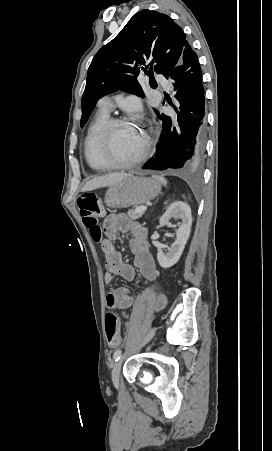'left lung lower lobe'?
I'll return each instance as SVG.
<instances>
[{"instance_id": "1", "label": "left lung lower lobe", "mask_w": 272, "mask_h": 451, "mask_svg": "<svg viewBox=\"0 0 272 451\" xmlns=\"http://www.w3.org/2000/svg\"><path fill=\"white\" fill-rule=\"evenodd\" d=\"M173 80L175 98L179 101L177 121L164 114L158 116L162 125L155 159L145 169L166 170L199 166L205 155V90L202 71L196 53L187 43L175 68L169 73Z\"/></svg>"}]
</instances>
